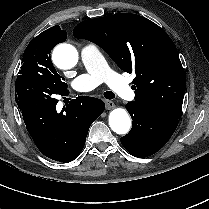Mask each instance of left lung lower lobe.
Wrapping results in <instances>:
<instances>
[{"mask_svg": "<svg viewBox=\"0 0 209 209\" xmlns=\"http://www.w3.org/2000/svg\"><path fill=\"white\" fill-rule=\"evenodd\" d=\"M126 109L133 125L130 132L121 138L124 148L133 156L147 157L159 151L171 138L178 119L167 117L130 102Z\"/></svg>", "mask_w": 209, "mask_h": 209, "instance_id": "left-lung-lower-lobe-1", "label": "left lung lower lobe"}]
</instances>
